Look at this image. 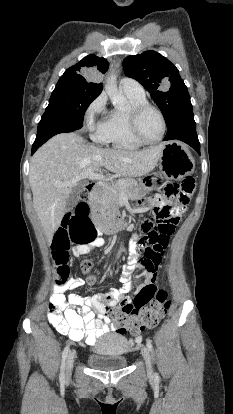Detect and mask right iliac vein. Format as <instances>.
Wrapping results in <instances>:
<instances>
[{
	"label": "right iliac vein",
	"mask_w": 233,
	"mask_h": 414,
	"mask_svg": "<svg viewBox=\"0 0 233 414\" xmlns=\"http://www.w3.org/2000/svg\"><path fill=\"white\" fill-rule=\"evenodd\" d=\"M75 352H70L66 360V378H69L72 373L74 364Z\"/></svg>",
	"instance_id": "obj_1"
}]
</instances>
